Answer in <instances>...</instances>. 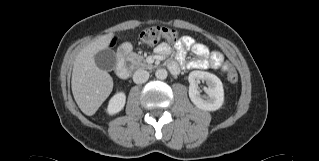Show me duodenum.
Segmentation results:
<instances>
[{
  "instance_id": "obj_1",
  "label": "duodenum",
  "mask_w": 319,
  "mask_h": 161,
  "mask_svg": "<svg viewBox=\"0 0 319 161\" xmlns=\"http://www.w3.org/2000/svg\"><path fill=\"white\" fill-rule=\"evenodd\" d=\"M130 51L128 44H122L117 49L115 58L117 62L116 73L120 79H127L130 76V70L126 64V57Z\"/></svg>"
}]
</instances>
